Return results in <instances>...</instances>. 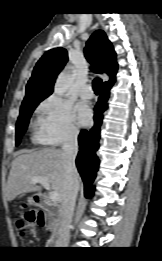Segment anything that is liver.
Segmentation results:
<instances>
[{"label":"liver","instance_id":"liver-1","mask_svg":"<svg viewBox=\"0 0 162 261\" xmlns=\"http://www.w3.org/2000/svg\"><path fill=\"white\" fill-rule=\"evenodd\" d=\"M32 177L47 178L61 201L66 184L63 150L42 148L21 152L12 162L7 181V199L12 201L19 194L27 192L40 193L42 186L31 183Z\"/></svg>","mask_w":162,"mask_h":261}]
</instances>
